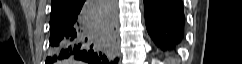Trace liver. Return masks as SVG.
<instances>
[{
  "instance_id": "1",
  "label": "liver",
  "mask_w": 242,
  "mask_h": 64,
  "mask_svg": "<svg viewBox=\"0 0 242 64\" xmlns=\"http://www.w3.org/2000/svg\"><path fill=\"white\" fill-rule=\"evenodd\" d=\"M69 62H71V61H69ZM73 64H80L79 62H74Z\"/></svg>"
}]
</instances>
